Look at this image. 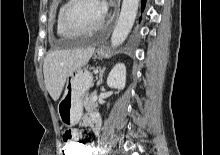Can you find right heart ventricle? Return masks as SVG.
Listing matches in <instances>:
<instances>
[{
	"instance_id": "obj_1",
	"label": "right heart ventricle",
	"mask_w": 220,
	"mask_h": 155,
	"mask_svg": "<svg viewBox=\"0 0 220 155\" xmlns=\"http://www.w3.org/2000/svg\"><path fill=\"white\" fill-rule=\"evenodd\" d=\"M66 3H63L60 5V7L58 8L57 14H56V18H55V28H56V33L58 36L60 37H64V38H72L75 37V34H71L69 32H67L61 25L60 23V14H61V10L63 8V6Z\"/></svg>"
}]
</instances>
